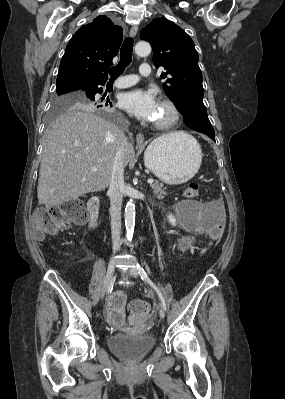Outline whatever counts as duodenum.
Instances as JSON below:
<instances>
[{
    "label": "duodenum",
    "instance_id": "obj_1",
    "mask_svg": "<svg viewBox=\"0 0 285 399\" xmlns=\"http://www.w3.org/2000/svg\"><path fill=\"white\" fill-rule=\"evenodd\" d=\"M88 212L90 228L97 229L100 225L99 199L97 197H93L89 200Z\"/></svg>",
    "mask_w": 285,
    "mask_h": 399
}]
</instances>
